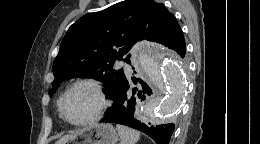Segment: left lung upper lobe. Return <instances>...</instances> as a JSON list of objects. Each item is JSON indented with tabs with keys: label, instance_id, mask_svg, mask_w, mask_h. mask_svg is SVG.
<instances>
[{
	"label": "left lung upper lobe",
	"instance_id": "5c2ea615",
	"mask_svg": "<svg viewBox=\"0 0 260 144\" xmlns=\"http://www.w3.org/2000/svg\"><path fill=\"white\" fill-rule=\"evenodd\" d=\"M180 30L174 15L154 0H125L86 14L61 42L53 63V85L74 77L93 78L105 84V94L112 99L125 78L122 69H113L115 61L130 64L129 51L136 42L146 39L166 45Z\"/></svg>",
	"mask_w": 260,
	"mask_h": 144
}]
</instances>
